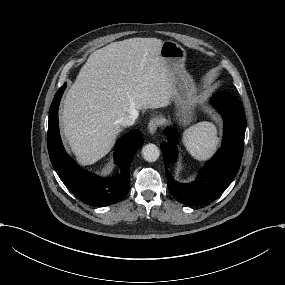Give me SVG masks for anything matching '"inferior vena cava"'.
<instances>
[{"label": "inferior vena cava", "instance_id": "inferior-vena-cava-1", "mask_svg": "<svg viewBox=\"0 0 285 285\" xmlns=\"http://www.w3.org/2000/svg\"><path fill=\"white\" fill-rule=\"evenodd\" d=\"M139 112L136 109H131L127 114L117 120V123L123 127L131 126L135 123Z\"/></svg>", "mask_w": 285, "mask_h": 285}]
</instances>
